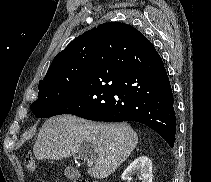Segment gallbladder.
Masks as SVG:
<instances>
[{
    "label": "gallbladder",
    "instance_id": "1",
    "mask_svg": "<svg viewBox=\"0 0 211 182\" xmlns=\"http://www.w3.org/2000/svg\"><path fill=\"white\" fill-rule=\"evenodd\" d=\"M84 153L81 154V157L83 156ZM73 172H74V168L73 167H65L64 169V173L67 177L72 178L73 177Z\"/></svg>",
    "mask_w": 211,
    "mask_h": 182
}]
</instances>
